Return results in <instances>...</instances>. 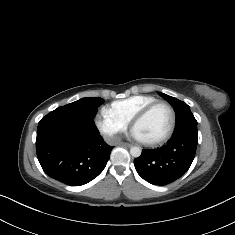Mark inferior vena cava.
Listing matches in <instances>:
<instances>
[{
    "label": "inferior vena cava",
    "mask_w": 235,
    "mask_h": 235,
    "mask_svg": "<svg viewBox=\"0 0 235 235\" xmlns=\"http://www.w3.org/2000/svg\"><path fill=\"white\" fill-rule=\"evenodd\" d=\"M104 140L109 145H117L121 141L118 135H106Z\"/></svg>",
    "instance_id": "inferior-vena-cava-1"
}]
</instances>
